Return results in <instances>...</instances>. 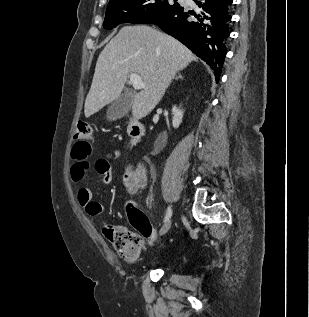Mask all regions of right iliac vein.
Segmentation results:
<instances>
[{"label":"right iliac vein","mask_w":309,"mask_h":317,"mask_svg":"<svg viewBox=\"0 0 309 317\" xmlns=\"http://www.w3.org/2000/svg\"><path fill=\"white\" fill-rule=\"evenodd\" d=\"M171 227V220H168L164 223V225L162 226L161 230H160V235H164L168 232V230Z\"/></svg>","instance_id":"1"}]
</instances>
